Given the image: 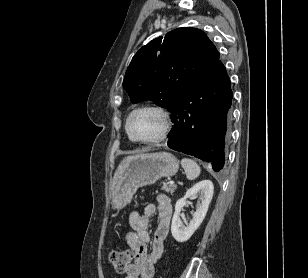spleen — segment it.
I'll use <instances>...</instances> for the list:
<instances>
[{
  "mask_svg": "<svg viewBox=\"0 0 308 278\" xmlns=\"http://www.w3.org/2000/svg\"><path fill=\"white\" fill-rule=\"evenodd\" d=\"M181 165L185 170L186 177L188 180L196 179L201 173L200 166L192 159L183 158L181 160Z\"/></svg>",
  "mask_w": 308,
  "mask_h": 278,
  "instance_id": "3e777b00",
  "label": "spleen"
}]
</instances>
